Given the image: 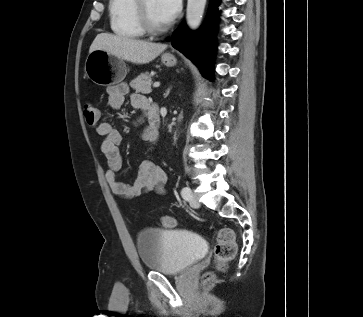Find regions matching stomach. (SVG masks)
Segmentation results:
<instances>
[{
    "instance_id": "stomach-1",
    "label": "stomach",
    "mask_w": 363,
    "mask_h": 317,
    "mask_svg": "<svg viewBox=\"0 0 363 317\" xmlns=\"http://www.w3.org/2000/svg\"><path fill=\"white\" fill-rule=\"evenodd\" d=\"M161 61L167 67L176 65L175 57L169 53L163 54ZM85 73L93 83L108 86L123 81L127 68L122 58L104 50H95L86 58Z\"/></svg>"
}]
</instances>
